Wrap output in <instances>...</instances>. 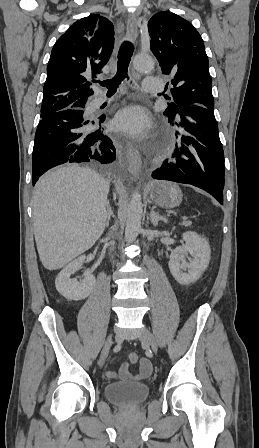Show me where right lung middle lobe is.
I'll use <instances>...</instances> for the list:
<instances>
[{"label": "right lung middle lobe", "mask_w": 259, "mask_h": 448, "mask_svg": "<svg viewBox=\"0 0 259 448\" xmlns=\"http://www.w3.org/2000/svg\"><path fill=\"white\" fill-rule=\"evenodd\" d=\"M79 109H80V106H72V107L67 108L65 110H68L69 112H77ZM62 111H64V110H62ZM43 117H45V116H41V118H43Z\"/></svg>", "instance_id": "dd1d6c3e"}]
</instances>
